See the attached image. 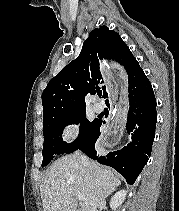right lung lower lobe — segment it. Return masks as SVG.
Here are the masks:
<instances>
[{
	"label": "right lung lower lobe",
	"mask_w": 179,
	"mask_h": 211,
	"mask_svg": "<svg viewBox=\"0 0 179 211\" xmlns=\"http://www.w3.org/2000/svg\"><path fill=\"white\" fill-rule=\"evenodd\" d=\"M106 105L109 107L108 100ZM126 115V129L131 135V141L126 146L107 155L98 154L95 143L102 124V121L98 120L90 137L78 149L99 163L113 167L132 185L151 154L157 121L156 99L151 83L142 69L129 81Z\"/></svg>",
	"instance_id": "obj_1"
}]
</instances>
